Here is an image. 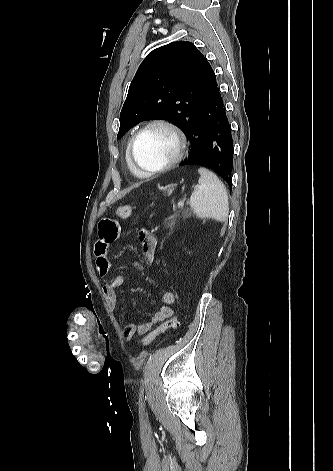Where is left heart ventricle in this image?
Returning a JSON list of instances; mask_svg holds the SVG:
<instances>
[{
	"label": "left heart ventricle",
	"instance_id": "b2bd125f",
	"mask_svg": "<svg viewBox=\"0 0 333 471\" xmlns=\"http://www.w3.org/2000/svg\"><path fill=\"white\" fill-rule=\"evenodd\" d=\"M177 150L174 135L164 127L154 126L144 132L135 146V158L145 169H155L173 158Z\"/></svg>",
	"mask_w": 333,
	"mask_h": 471
}]
</instances>
